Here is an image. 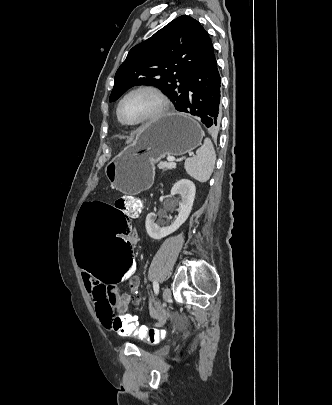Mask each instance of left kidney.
Masks as SVG:
<instances>
[{
	"label": "left kidney",
	"instance_id": "1",
	"mask_svg": "<svg viewBox=\"0 0 332 405\" xmlns=\"http://www.w3.org/2000/svg\"><path fill=\"white\" fill-rule=\"evenodd\" d=\"M196 193V187L193 182L188 179H181L171 189L172 195L179 194L181 201L179 202V214L176 220L169 226L166 221L160 220L155 222L157 215L155 213H149L146 217L145 227L148 235L155 240L162 239L169 234L175 232L189 217L194 198Z\"/></svg>",
	"mask_w": 332,
	"mask_h": 405
}]
</instances>
